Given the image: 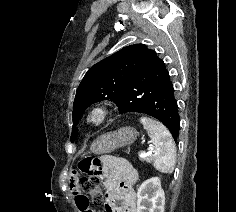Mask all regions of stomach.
I'll list each match as a JSON object with an SVG mask.
<instances>
[{
	"label": "stomach",
	"mask_w": 236,
	"mask_h": 212,
	"mask_svg": "<svg viewBox=\"0 0 236 212\" xmlns=\"http://www.w3.org/2000/svg\"><path fill=\"white\" fill-rule=\"evenodd\" d=\"M138 132L131 127H122L114 132L101 135L92 144L91 150L96 154H107L119 147L131 145L137 139Z\"/></svg>",
	"instance_id": "stomach-1"
}]
</instances>
